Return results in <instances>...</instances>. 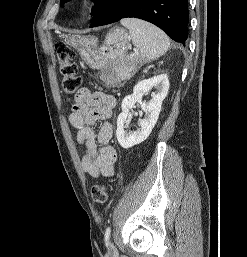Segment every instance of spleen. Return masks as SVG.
Instances as JSON below:
<instances>
[{
  "instance_id": "3e777b00",
  "label": "spleen",
  "mask_w": 247,
  "mask_h": 257,
  "mask_svg": "<svg viewBox=\"0 0 247 257\" xmlns=\"http://www.w3.org/2000/svg\"><path fill=\"white\" fill-rule=\"evenodd\" d=\"M121 24L128 28L133 44L145 61L154 60L168 50L169 37L158 27L135 18L122 19Z\"/></svg>"
}]
</instances>
